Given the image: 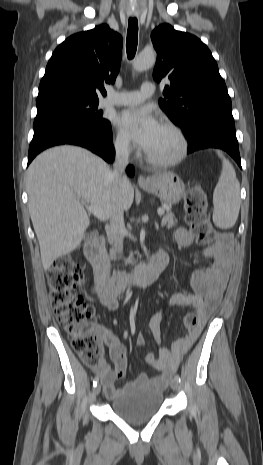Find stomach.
<instances>
[{
    "label": "stomach",
    "instance_id": "1",
    "mask_svg": "<svg viewBox=\"0 0 263 465\" xmlns=\"http://www.w3.org/2000/svg\"><path fill=\"white\" fill-rule=\"evenodd\" d=\"M142 188L148 193L156 195L167 204H177L185 190L183 181L173 172L154 175L151 178V184Z\"/></svg>",
    "mask_w": 263,
    "mask_h": 465
}]
</instances>
